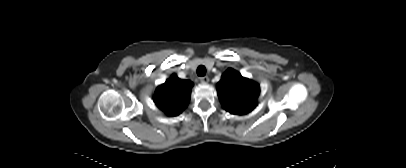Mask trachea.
Wrapping results in <instances>:
<instances>
[{
    "label": "trachea",
    "mask_w": 406,
    "mask_h": 168,
    "mask_svg": "<svg viewBox=\"0 0 406 168\" xmlns=\"http://www.w3.org/2000/svg\"><path fill=\"white\" fill-rule=\"evenodd\" d=\"M197 75H198V76H205V75H206V68H205V66L200 65V66L197 68Z\"/></svg>",
    "instance_id": "1"
}]
</instances>
